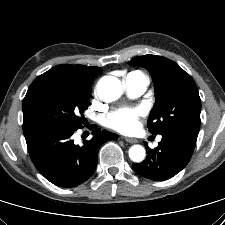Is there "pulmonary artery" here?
<instances>
[{
	"label": "pulmonary artery",
	"instance_id": "1",
	"mask_svg": "<svg viewBox=\"0 0 225 225\" xmlns=\"http://www.w3.org/2000/svg\"><path fill=\"white\" fill-rule=\"evenodd\" d=\"M124 84L129 96L138 97L146 91L149 81L141 72H132L125 77Z\"/></svg>",
	"mask_w": 225,
	"mask_h": 225
}]
</instances>
